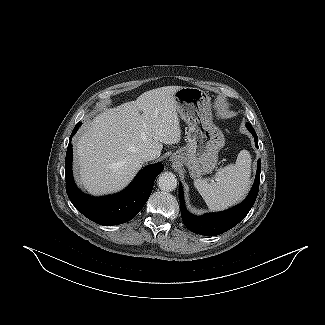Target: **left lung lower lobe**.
<instances>
[{"label":"left lung lower lobe","instance_id":"obj_1","mask_svg":"<svg viewBox=\"0 0 325 325\" xmlns=\"http://www.w3.org/2000/svg\"><path fill=\"white\" fill-rule=\"evenodd\" d=\"M246 126L254 136L255 145L258 148V138L255 130L249 123H246ZM260 171L261 160L259 159L254 184L248 196L241 204L224 212L205 214L203 216H195L188 212L184 203L182 184L179 183L180 210L185 226L190 231L205 236L219 235L233 228L246 217L256 200L259 190Z\"/></svg>","mask_w":325,"mask_h":325}]
</instances>
